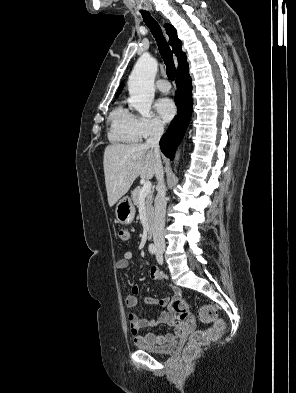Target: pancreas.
Wrapping results in <instances>:
<instances>
[{
    "label": "pancreas",
    "mask_w": 296,
    "mask_h": 393,
    "mask_svg": "<svg viewBox=\"0 0 296 393\" xmlns=\"http://www.w3.org/2000/svg\"><path fill=\"white\" fill-rule=\"evenodd\" d=\"M141 187L138 186L133 192H132V201L134 205L139 206L141 202V197H140V192H141ZM144 200V204L146 207V212H147V218L148 222L152 224L153 222V215H154V208H153V192H149L146 196L142 198Z\"/></svg>",
    "instance_id": "pancreas-1"
}]
</instances>
